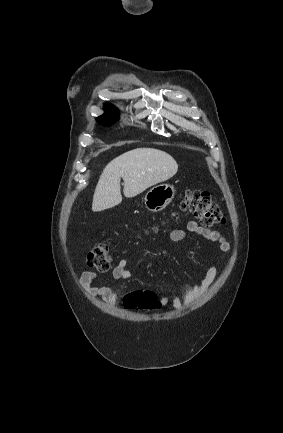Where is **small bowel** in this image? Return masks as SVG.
Wrapping results in <instances>:
<instances>
[{
	"instance_id": "1",
	"label": "small bowel",
	"mask_w": 283,
	"mask_h": 433,
	"mask_svg": "<svg viewBox=\"0 0 283 433\" xmlns=\"http://www.w3.org/2000/svg\"><path fill=\"white\" fill-rule=\"evenodd\" d=\"M190 233H195L208 241L217 243L219 249L223 253H226L230 248L228 241L221 232L201 226L195 221H188L184 228L172 230L169 237L172 242H180L184 240ZM127 266L128 261L126 259H121L114 267L112 271V277L114 279H130L132 277V272L127 269ZM217 274L218 269L215 266L208 267L204 277L194 285L186 288L182 297L174 296L171 300L168 297H162L160 299L161 305H165L171 301L175 310H182L185 305L192 303L195 299L207 291L210 285L215 281ZM96 278L97 274L93 271H85L82 274L80 280L85 291L90 296L100 297L107 304H116L118 295L115 290L105 285H93V282Z\"/></svg>"
}]
</instances>
